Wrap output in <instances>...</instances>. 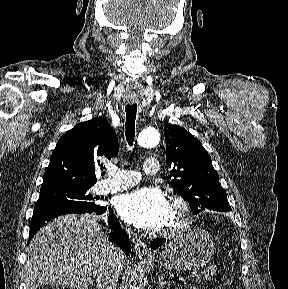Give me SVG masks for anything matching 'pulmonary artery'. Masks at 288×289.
<instances>
[{"label": "pulmonary artery", "instance_id": "1", "mask_svg": "<svg viewBox=\"0 0 288 289\" xmlns=\"http://www.w3.org/2000/svg\"><path fill=\"white\" fill-rule=\"evenodd\" d=\"M159 172V160L149 157L144 162V173L146 175H157ZM141 179V173L137 171H126L116 169L108 180L101 181L97 186V193L110 194L135 186Z\"/></svg>", "mask_w": 288, "mask_h": 289}]
</instances>
